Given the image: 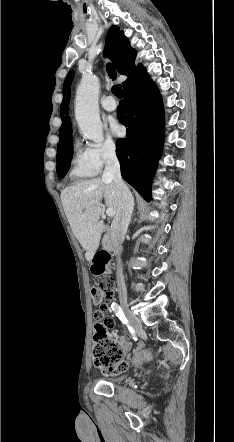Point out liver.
Masks as SVG:
<instances>
[{
  "mask_svg": "<svg viewBox=\"0 0 234 442\" xmlns=\"http://www.w3.org/2000/svg\"><path fill=\"white\" fill-rule=\"evenodd\" d=\"M103 198L106 206L117 213L120 196L113 181L102 178L82 181L61 192L66 217L74 235L86 250L85 258L89 262L99 247L103 231V221L100 220Z\"/></svg>",
  "mask_w": 234,
  "mask_h": 442,
  "instance_id": "liver-1",
  "label": "liver"
}]
</instances>
